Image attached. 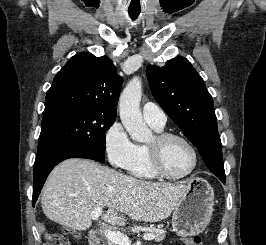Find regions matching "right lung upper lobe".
Masks as SVG:
<instances>
[{"label": "right lung upper lobe", "instance_id": "obj_1", "mask_svg": "<svg viewBox=\"0 0 266 245\" xmlns=\"http://www.w3.org/2000/svg\"><path fill=\"white\" fill-rule=\"evenodd\" d=\"M123 79L107 57L82 52L58 72L45 99L43 118L75 108L116 114Z\"/></svg>", "mask_w": 266, "mask_h": 245}]
</instances>
